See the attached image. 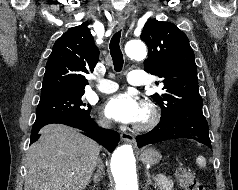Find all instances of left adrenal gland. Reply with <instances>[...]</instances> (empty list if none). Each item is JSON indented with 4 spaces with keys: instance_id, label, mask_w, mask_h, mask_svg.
<instances>
[{
    "instance_id": "a2214340",
    "label": "left adrenal gland",
    "mask_w": 238,
    "mask_h": 190,
    "mask_svg": "<svg viewBox=\"0 0 238 190\" xmlns=\"http://www.w3.org/2000/svg\"><path fill=\"white\" fill-rule=\"evenodd\" d=\"M146 177H147L146 185H145L146 186V190L148 189V187L150 185H153L156 188V185L151 180V175H150L149 171H146Z\"/></svg>"
}]
</instances>
